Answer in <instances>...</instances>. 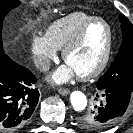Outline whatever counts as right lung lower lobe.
Instances as JSON below:
<instances>
[{
    "mask_svg": "<svg viewBox=\"0 0 133 133\" xmlns=\"http://www.w3.org/2000/svg\"><path fill=\"white\" fill-rule=\"evenodd\" d=\"M36 77L26 67L0 56V130H15L31 117L39 100Z\"/></svg>",
    "mask_w": 133,
    "mask_h": 133,
    "instance_id": "right-lung-lower-lobe-1",
    "label": "right lung lower lobe"
}]
</instances>
